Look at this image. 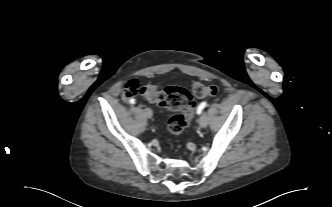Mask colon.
<instances>
[{
    "instance_id": "colon-1",
    "label": "colon",
    "mask_w": 332,
    "mask_h": 207,
    "mask_svg": "<svg viewBox=\"0 0 332 207\" xmlns=\"http://www.w3.org/2000/svg\"><path fill=\"white\" fill-rule=\"evenodd\" d=\"M191 89L193 95L197 98L215 96L218 93L216 85L206 86L198 82L193 83ZM123 94L125 98L140 94L160 107L178 111L168 122V129L173 135L182 133L188 127L194 114L193 97L186 89L181 87H168L160 90L153 85L140 86L137 80H130L125 85Z\"/></svg>"
}]
</instances>
